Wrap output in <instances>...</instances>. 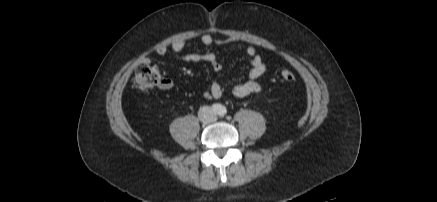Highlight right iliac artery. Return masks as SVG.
Segmentation results:
<instances>
[{
    "mask_svg": "<svg viewBox=\"0 0 437 202\" xmlns=\"http://www.w3.org/2000/svg\"><path fill=\"white\" fill-rule=\"evenodd\" d=\"M220 108H221V106H220L219 104H213V105H212V110H213L214 112H218V111H220Z\"/></svg>",
    "mask_w": 437,
    "mask_h": 202,
    "instance_id": "right-iliac-artery-1",
    "label": "right iliac artery"
}]
</instances>
